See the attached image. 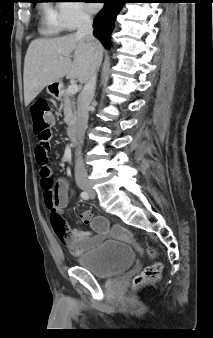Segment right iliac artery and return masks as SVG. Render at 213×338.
<instances>
[{
  "label": "right iliac artery",
  "instance_id": "obj_1",
  "mask_svg": "<svg viewBox=\"0 0 213 338\" xmlns=\"http://www.w3.org/2000/svg\"><path fill=\"white\" fill-rule=\"evenodd\" d=\"M80 196L84 200H88L89 199V193L86 192V191L81 192Z\"/></svg>",
  "mask_w": 213,
  "mask_h": 338
}]
</instances>
